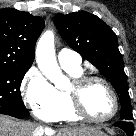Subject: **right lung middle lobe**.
Wrapping results in <instances>:
<instances>
[{"label": "right lung middle lobe", "mask_w": 136, "mask_h": 136, "mask_svg": "<svg viewBox=\"0 0 136 136\" xmlns=\"http://www.w3.org/2000/svg\"><path fill=\"white\" fill-rule=\"evenodd\" d=\"M28 69L0 67V114L27 117L20 94V85Z\"/></svg>", "instance_id": "right-lung-middle-lobe-1"}]
</instances>
